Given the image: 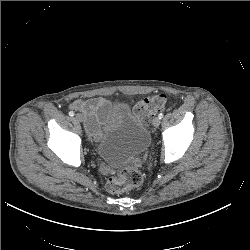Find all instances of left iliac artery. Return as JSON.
Instances as JSON below:
<instances>
[{"label":"left iliac artery","mask_w":250,"mask_h":250,"mask_svg":"<svg viewBox=\"0 0 250 250\" xmlns=\"http://www.w3.org/2000/svg\"><path fill=\"white\" fill-rule=\"evenodd\" d=\"M163 114L162 113H160L159 115H158V117L160 118V119H162L163 118Z\"/></svg>","instance_id":"left-iliac-artery-1"}]
</instances>
